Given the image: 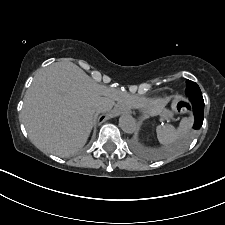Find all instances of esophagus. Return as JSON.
Returning a JSON list of instances; mask_svg holds the SVG:
<instances>
[{
    "mask_svg": "<svg viewBox=\"0 0 225 225\" xmlns=\"http://www.w3.org/2000/svg\"><path fill=\"white\" fill-rule=\"evenodd\" d=\"M126 111V108H123V107H117L114 109L113 113L115 115H119V114H122Z\"/></svg>",
    "mask_w": 225,
    "mask_h": 225,
    "instance_id": "obj_1",
    "label": "esophagus"
}]
</instances>
